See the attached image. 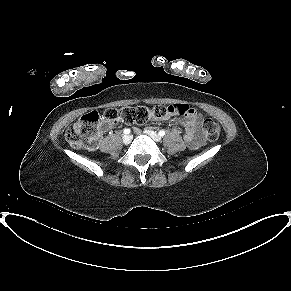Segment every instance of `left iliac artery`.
I'll return each mask as SVG.
<instances>
[{"instance_id":"1","label":"left iliac artery","mask_w":291,"mask_h":291,"mask_svg":"<svg viewBox=\"0 0 291 291\" xmlns=\"http://www.w3.org/2000/svg\"><path fill=\"white\" fill-rule=\"evenodd\" d=\"M160 136H164L165 135V131L164 130H160L158 133Z\"/></svg>"}]
</instances>
